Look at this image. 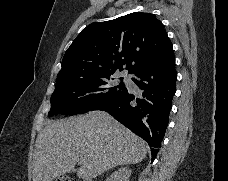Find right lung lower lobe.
<instances>
[{
    "label": "right lung lower lobe",
    "mask_w": 228,
    "mask_h": 181,
    "mask_svg": "<svg viewBox=\"0 0 228 181\" xmlns=\"http://www.w3.org/2000/svg\"><path fill=\"white\" fill-rule=\"evenodd\" d=\"M133 74L138 89L126 88L122 97L102 110L147 141L153 160L164 137L176 91L173 48L147 61Z\"/></svg>",
    "instance_id": "obj_1"
}]
</instances>
